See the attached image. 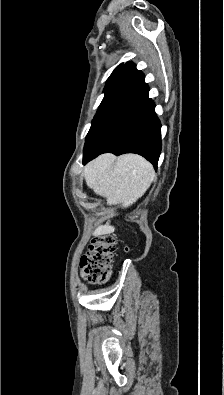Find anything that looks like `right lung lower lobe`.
Returning <instances> with one entry per match:
<instances>
[{"mask_svg":"<svg viewBox=\"0 0 224 395\" xmlns=\"http://www.w3.org/2000/svg\"><path fill=\"white\" fill-rule=\"evenodd\" d=\"M148 91L143 73L127 62L93 119L86 136L83 164L106 152L136 153L157 168L161 124Z\"/></svg>","mask_w":224,"mask_h":395,"instance_id":"1","label":"right lung lower lobe"}]
</instances>
